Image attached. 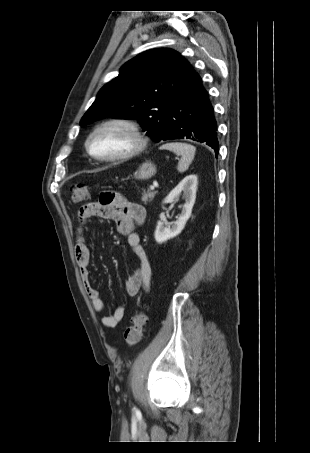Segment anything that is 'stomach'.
Masks as SVG:
<instances>
[{
	"instance_id": "1",
	"label": "stomach",
	"mask_w": 310,
	"mask_h": 453,
	"mask_svg": "<svg viewBox=\"0 0 310 453\" xmlns=\"http://www.w3.org/2000/svg\"><path fill=\"white\" fill-rule=\"evenodd\" d=\"M156 174V166L151 162L143 163L134 173L137 180H148Z\"/></svg>"
}]
</instances>
